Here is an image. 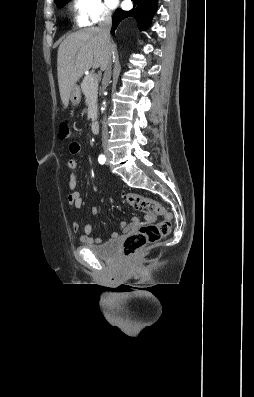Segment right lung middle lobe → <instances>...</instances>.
Returning a JSON list of instances; mask_svg holds the SVG:
<instances>
[{"label": "right lung middle lobe", "mask_w": 254, "mask_h": 397, "mask_svg": "<svg viewBox=\"0 0 254 397\" xmlns=\"http://www.w3.org/2000/svg\"><path fill=\"white\" fill-rule=\"evenodd\" d=\"M70 0H56L55 3L57 5L58 8H60L61 6H63V4L68 3Z\"/></svg>", "instance_id": "obj_1"}]
</instances>
